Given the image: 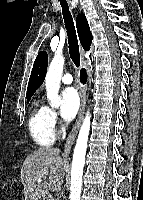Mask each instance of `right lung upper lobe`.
Instances as JSON below:
<instances>
[{"label":"right lung upper lobe","mask_w":143,"mask_h":200,"mask_svg":"<svg viewBox=\"0 0 143 200\" xmlns=\"http://www.w3.org/2000/svg\"><path fill=\"white\" fill-rule=\"evenodd\" d=\"M76 27L80 42L84 50H89L92 42V34L86 17L84 14H79L76 18ZM48 59L46 52H40L35 59L31 76L28 83L26 98L30 99L34 92L43 83L47 71Z\"/></svg>","instance_id":"obj_1"}]
</instances>
